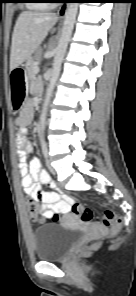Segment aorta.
<instances>
[{
    "label": "aorta",
    "mask_w": 136,
    "mask_h": 296,
    "mask_svg": "<svg viewBox=\"0 0 136 296\" xmlns=\"http://www.w3.org/2000/svg\"><path fill=\"white\" fill-rule=\"evenodd\" d=\"M78 5L79 3H69L65 13V20H64V25L62 29V34L55 51L53 67H52L50 79H49V86L47 89L46 98L43 104V109H42L40 120H39L41 137H43L45 124H46L47 107H48L53 89L55 87L56 81L59 77L62 61L72 35V31H73L74 23L76 20L77 11H78Z\"/></svg>",
    "instance_id": "762f6f07"
}]
</instances>
